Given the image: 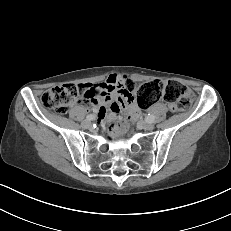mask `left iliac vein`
<instances>
[{
    "label": "left iliac vein",
    "instance_id": "1",
    "mask_svg": "<svg viewBox=\"0 0 231 231\" xmlns=\"http://www.w3.org/2000/svg\"><path fill=\"white\" fill-rule=\"evenodd\" d=\"M139 124L145 130L150 131L154 129V125L151 122L140 121Z\"/></svg>",
    "mask_w": 231,
    "mask_h": 231
}]
</instances>
